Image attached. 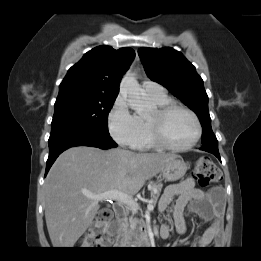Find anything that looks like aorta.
Returning <instances> with one entry per match:
<instances>
[{
    "label": "aorta",
    "mask_w": 261,
    "mask_h": 261,
    "mask_svg": "<svg viewBox=\"0 0 261 261\" xmlns=\"http://www.w3.org/2000/svg\"><path fill=\"white\" fill-rule=\"evenodd\" d=\"M120 94L136 112H142L147 108V103L141 96V88L132 73H126L122 78Z\"/></svg>",
    "instance_id": "aorta-1"
}]
</instances>
